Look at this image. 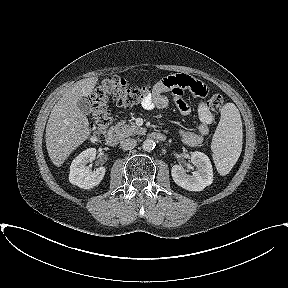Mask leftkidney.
I'll list each match as a JSON object with an SVG mask.
<instances>
[{"mask_svg":"<svg viewBox=\"0 0 288 288\" xmlns=\"http://www.w3.org/2000/svg\"><path fill=\"white\" fill-rule=\"evenodd\" d=\"M191 163L196 167L191 175L181 165H174L171 175L174 182L189 191H202L213 182V169L210 159L202 152H192Z\"/></svg>","mask_w":288,"mask_h":288,"instance_id":"1","label":"left kidney"}]
</instances>
